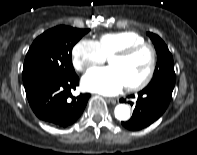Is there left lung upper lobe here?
Masks as SVG:
<instances>
[{"instance_id": "obj_1", "label": "left lung upper lobe", "mask_w": 197, "mask_h": 155, "mask_svg": "<svg viewBox=\"0 0 197 155\" xmlns=\"http://www.w3.org/2000/svg\"><path fill=\"white\" fill-rule=\"evenodd\" d=\"M147 34L151 38L157 52V65L153 78L147 88L165 87L173 90L175 86V72L172 55L159 36L151 32Z\"/></svg>"}]
</instances>
